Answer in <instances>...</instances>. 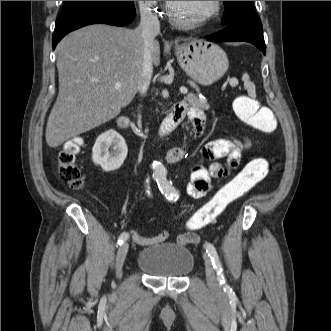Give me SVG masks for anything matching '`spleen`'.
Returning a JSON list of instances; mask_svg holds the SVG:
<instances>
[{"mask_svg": "<svg viewBox=\"0 0 331 331\" xmlns=\"http://www.w3.org/2000/svg\"><path fill=\"white\" fill-rule=\"evenodd\" d=\"M242 79L244 81V85L248 91V94L251 97H255L256 96L255 85L253 83H251L249 75L247 73L243 74Z\"/></svg>", "mask_w": 331, "mask_h": 331, "instance_id": "spleen-1", "label": "spleen"}]
</instances>
